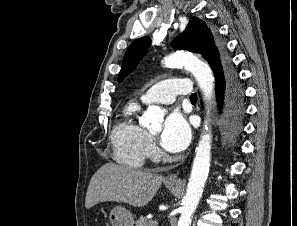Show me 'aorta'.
<instances>
[{"mask_svg":"<svg viewBox=\"0 0 297 226\" xmlns=\"http://www.w3.org/2000/svg\"><path fill=\"white\" fill-rule=\"evenodd\" d=\"M165 66H181L188 69L195 77L206 100L207 109L214 92V75L210 67L188 52H175L164 59ZM163 114L158 106H149L143 115V123L152 130H160ZM212 135L209 127L205 125V133L199 140L196 155L193 160L191 175L187 185L181 216L177 226H190L201 199L205 181L208 177L211 161Z\"/></svg>","mask_w":297,"mask_h":226,"instance_id":"762f6f07","label":"aorta"}]
</instances>
